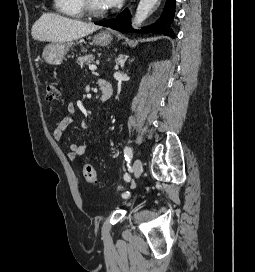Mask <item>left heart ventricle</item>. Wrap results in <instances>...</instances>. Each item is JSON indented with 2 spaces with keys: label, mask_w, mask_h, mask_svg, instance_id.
I'll return each instance as SVG.
<instances>
[{
  "label": "left heart ventricle",
  "mask_w": 255,
  "mask_h": 272,
  "mask_svg": "<svg viewBox=\"0 0 255 272\" xmlns=\"http://www.w3.org/2000/svg\"><path fill=\"white\" fill-rule=\"evenodd\" d=\"M92 4L93 6L97 9V10H105L106 8L103 6L101 0H92Z\"/></svg>",
  "instance_id": "left-heart-ventricle-1"
}]
</instances>
